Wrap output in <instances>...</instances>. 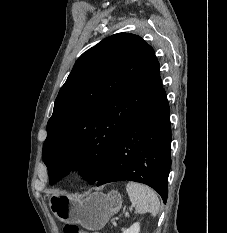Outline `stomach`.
Instances as JSON below:
<instances>
[{
	"label": "stomach",
	"mask_w": 227,
	"mask_h": 233,
	"mask_svg": "<svg viewBox=\"0 0 227 233\" xmlns=\"http://www.w3.org/2000/svg\"><path fill=\"white\" fill-rule=\"evenodd\" d=\"M121 206L122 197L117 191L108 194L96 192L83 200L60 193L50 197L51 210L60 221L81 224L89 230L103 228Z\"/></svg>",
	"instance_id": "0dacf381"
}]
</instances>
